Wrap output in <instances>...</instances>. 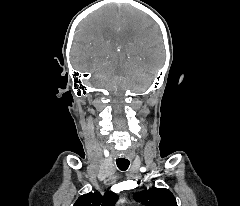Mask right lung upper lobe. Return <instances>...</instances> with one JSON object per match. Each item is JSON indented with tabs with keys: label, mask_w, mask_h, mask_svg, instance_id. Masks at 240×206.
Instances as JSON below:
<instances>
[{
	"label": "right lung upper lobe",
	"mask_w": 240,
	"mask_h": 206,
	"mask_svg": "<svg viewBox=\"0 0 240 206\" xmlns=\"http://www.w3.org/2000/svg\"><path fill=\"white\" fill-rule=\"evenodd\" d=\"M118 197L111 191L101 195L99 192H90L80 196L74 206H114Z\"/></svg>",
	"instance_id": "right-lung-upper-lobe-1"
}]
</instances>
